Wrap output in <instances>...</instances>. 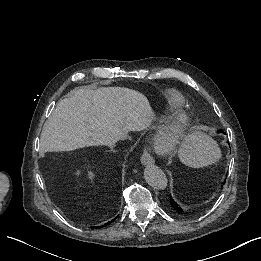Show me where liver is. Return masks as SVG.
Instances as JSON below:
<instances>
[{
  "instance_id": "6515ba94",
  "label": "liver",
  "mask_w": 261,
  "mask_h": 261,
  "mask_svg": "<svg viewBox=\"0 0 261 261\" xmlns=\"http://www.w3.org/2000/svg\"><path fill=\"white\" fill-rule=\"evenodd\" d=\"M154 121L146 98L126 88L84 87L58 102L45 123L41 145L46 152L111 146L129 132L149 128Z\"/></svg>"
}]
</instances>
